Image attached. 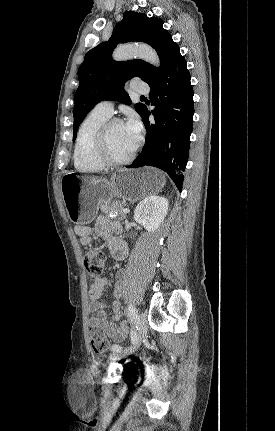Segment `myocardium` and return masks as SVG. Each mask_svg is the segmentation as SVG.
<instances>
[{"label":"myocardium","mask_w":275,"mask_h":431,"mask_svg":"<svg viewBox=\"0 0 275 431\" xmlns=\"http://www.w3.org/2000/svg\"><path fill=\"white\" fill-rule=\"evenodd\" d=\"M116 124H122V121L118 118L108 119L100 127L96 135L94 152L97 159L105 167H121L131 163L135 157L136 149H133L132 152L124 159H115L110 155L108 150V134L110 129Z\"/></svg>","instance_id":"obj_1"}]
</instances>
